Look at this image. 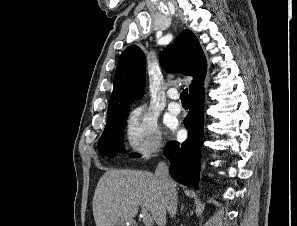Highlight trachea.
Returning a JSON list of instances; mask_svg holds the SVG:
<instances>
[{"instance_id": "trachea-1", "label": "trachea", "mask_w": 297, "mask_h": 226, "mask_svg": "<svg viewBox=\"0 0 297 226\" xmlns=\"http://www.w3.org/2000/svg\"><path fill=\"white\" fill-rule=\"evenodd\" d=\"M180 98H181L182 104H188V90H187V88L182 91Z\"/></svg>"}]
</instances>
